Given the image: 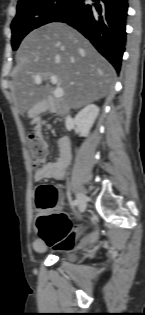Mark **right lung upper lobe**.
<instances>
[{
    "mask_svg": "<svg viewBox=\"0 0 145 315\" xmlns=\"http://www.w3.org/2000/svg\"><path fill=\"white\" fill-rule=\"evenodd\" d=\"M21 1H25V0H19L18 2H21Z\"/></svg>",
    "mask_w": 145,
    "mask_h": 315,
    "instance_id": "1",
    "label": "right lung upper lobe"
}]
</instances>
